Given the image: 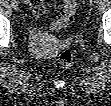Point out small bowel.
<instances>
[{
	"label": "small bowel",
	"mask_w": 111,
	"mask_h": 106,
	"mask_svg": "<svg viewBox=\"0 0 111 106\" xmlns=\"http://www.w3.org/2000/svg\"><path fill=\"white\" fill-rule=\"evenodd\" d=\"M26 3L32 8L35 14H41L43 11V3L40 0H27Z\"/></svg>",
	"instance_id": "obj_1"
}]
</instances>
